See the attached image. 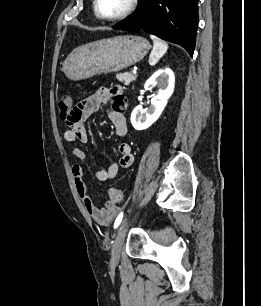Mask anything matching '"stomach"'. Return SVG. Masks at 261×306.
<instances>
[{
	"instance_id": "obj_1",
	"label": "stomach",
	"mask_w": 261,
	"mask_h": 306,
	"mask_svg": "<svg viewBox=\"0 0 261 306\" xmlns=\"http://www.w3.org/2000/svg\"><path fill=\"white\" fill-rule=\"evenodd\" d=\"M150 49L147 39L135 35L102 39L74 49L63 64L71 80H82L98 74L125 69L144 58Z\"/></svg>"
}]
</instances>
